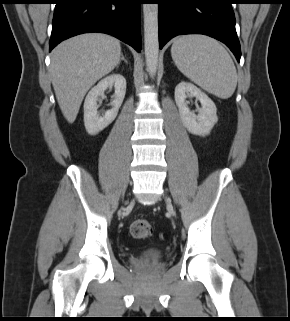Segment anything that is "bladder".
I'll list each match as a JSON object with an SVG mask.
<instances>
[{"instance_id":"1","label":"bladder","mask_w":290,"mask_h":321,"mask_svg":"<svg viewBox=\"0 0 290 321\" xmlns=\"http://www.w3.org/2000/svg\"><path fill=\"white\" fill-rule=\"evenodd\" d=\"M164 255H165V252L157 248H149L143 253L144 258L151 261L160 260L164 257Z\"/></svg>"}]
</instances>
